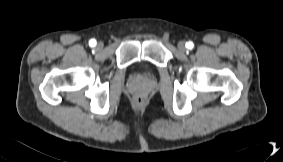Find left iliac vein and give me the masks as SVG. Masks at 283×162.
<instances>
[{
	"instance_id": "1",
	"label": "left iliac vein",
	"mask_w": 283,
	"mask_h": 162,
	"mask_svg": "<svg viewBox=\"0 0 283 162\" xmlns=\"http://www.w3.org/2000/svg\"><path fill=\"white\" fill-rule=\"evenodd\" d=\"M178 49H179L180 51H185L186 45H185V43H184L183 41H180V42L178 43Z\"/></svg>"
}]
</instances>
